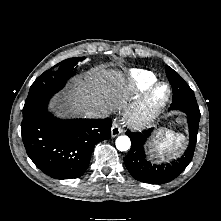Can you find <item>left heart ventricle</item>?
<instances>
[{"mask_svg": "<svg viewBox=\"0 0 221 221\" xmlns=\"http://www.w3.org/2000/svg\"><path fill=\"white\" fill-rule=\"evenodd\" d=\"M164 93V88H162L161 90H160V94H163Z\"/></svg>", "mask_w": 221, "mask_h": 221, "instance_id": "left-heart-ventricle-1", "label": "left heart ventricle"}]
</instances>
